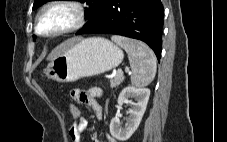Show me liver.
Returning a JSON list of instances; mask_svg holds the SVG:
<instances>
[{
    "mask_svg": "<svg viewBox=\"0 0 227 142\" xmlns=\"http://www.w3.org/2000/svg\"><path fill=\"white\" fill-rule=\"evenodd\" d=\"M78 40H80V38H71L66 40L65 42L54 48V50L49 54L47 59L53 60L54 58L62 54L67 48H69L71 44L77 42Z\"/></svg>",
    "mask_w": 227,
    "mask_h": 142,
    "instance_id": "liver-1",
    "label": "liver"
}]
</instances>
